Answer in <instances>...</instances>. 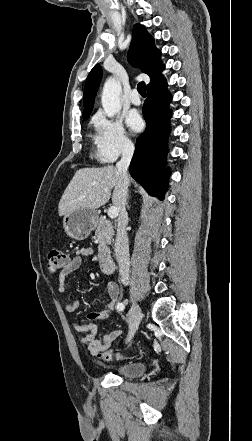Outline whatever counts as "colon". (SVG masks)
<instances>
[{
  "label": "colon",
  "mask_w": 252,
  "mask_h": 441,
  "mask_svg": "<svg viewBox=\"0 0 252 441\" xmlns=\"http://www.w3.org/2000/svg\"><path fill=\"white\" fill-rule=\"evenodd\" d=\"M69 263V258L67 255L60 249H51L47 256V270L54 274L59 271H62ZM112 310L108 307H105L103 309L93 311L88 314L87 318L89 321H103L109 318ZM91 326H82L81 328L83 330H88ZM101 358H104L106 360H113V359H120L121 356L119 354H114L109 351H105L100 355Z\"/></svg>",
  "instance_id": "5ec220e1"
}]
</instances>
